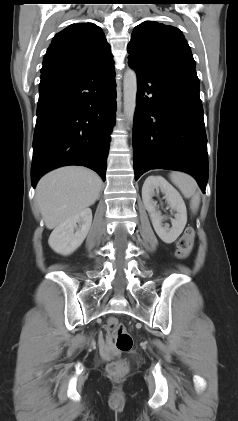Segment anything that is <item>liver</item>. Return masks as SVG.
<instances>
[{
  "instance_id": "obj_1",
  "label": "liver",
  "mask_w": 238,
  "mask_h": 421,
  "mask_svg": "<svg viewBox=\"0 0 238 421\" xmlns=\"http://www.w3.org/2000/svg\"><path fill=\"white\" fill-rule=\"evenodd\" d=\"M102 181L92 170L68 166L49 172L36 187V202L48 229L95 203Z\"/></svg>"
}]
</instances>
